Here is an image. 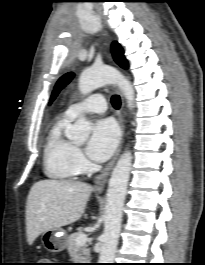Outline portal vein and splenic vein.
Instances as JSON below:
<instances>
[{"instance_id":"1","label":"portal vein and splenic vein","mask_w":205,"mask_h":265,"mask_svg":"<svg viewBox=\"0 0 205 265\" xmlns=\"http://www.w3.org/2000/svg\"><path fill=\"white\" fill-rule=\"evenodd\" d=\"M87 242V235L86 234H79L78 237L76 238V243L79 246L84 245Z\"/></svg>"}]
</instances>
